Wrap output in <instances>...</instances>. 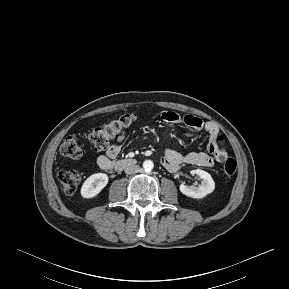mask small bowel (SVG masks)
I'll list each match as a JSON object with an SVG mask.
<instances>
[{"instance_id": "c3829d8e", "label": "small bowel", "mask_w": 289, "mask_h": 289, "mask_svg": "<svg viewBox=\"0 0 289 289\" xmlns=\"http://www.w3.org/2000/svg\"><path fill=\"white\" fill-rule=\"evenodd\" d=\"M163 122L170 125H182L186 127V137L191 138L196 132H206L209 135L208 152H190L181 154L169 147L164 150L161 164L169 172L175 173L185 166H198L212 168L215 161L223 162L228 156L227 149L223 143L218 142L221 136L219 129L214 122H203L200 118L193 115L181 116L173 111L161 113ZM126 138V132L117 136L116 142L112 144L106 154L97 158L98 166L103 170H110L122 150V143Z\"/></svg>"}]
</instances>
